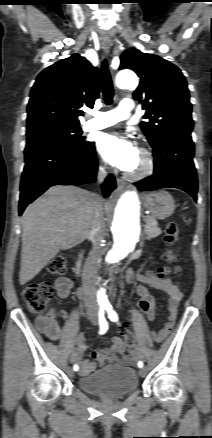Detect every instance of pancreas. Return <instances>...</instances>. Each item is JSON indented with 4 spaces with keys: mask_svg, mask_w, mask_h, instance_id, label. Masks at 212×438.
Here are the masks:
<instances>
[{
    "mask_svg": "<svg viewBox=\"0 0 212 438\" xmlns=\"http://www.w3.org/2000/svg\"><path fill=\"white\" fill-rule=\"evenodd\" d=\"M144 234L146 238L150 240L151 238H155L161 234L160 228H158V222L154 217L147 216Z\"/></svg>",
    "mask_w": 212,
    "mask_h": 438,
    "instance_id": "cf45deb5",
    "label": "pancreas"
}]
</instances>
